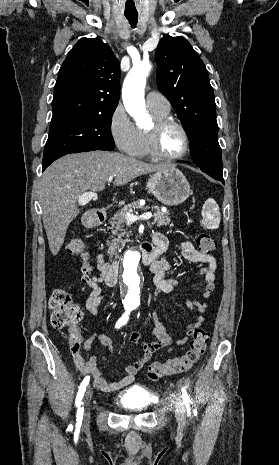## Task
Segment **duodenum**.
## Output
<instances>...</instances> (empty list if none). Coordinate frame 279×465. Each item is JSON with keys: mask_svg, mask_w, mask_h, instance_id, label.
Instances as JSON below:
<instances>
[{"mask_svg": "<svg viewBox=\"0 0 279 465\" xmlns=\"http://www.w3.org/2000/svg\"><path fill=\"white\" fill-rule=\"evenodd\" d=\"M107 218V214L104 211H97L85 218V225L89 228L96 227L103 223ZM142 260L146 265H151L157 258L158 252L156 248L148 242H145L141 245ZM118 281V263L115 262L110 265L107 276L106 283L108 286L116 285Z\"/></svg>", "mask_w": 279, "mask_h": 465, "instance_id": "410a0bca", "label": "duodenum"}]
</instances>
